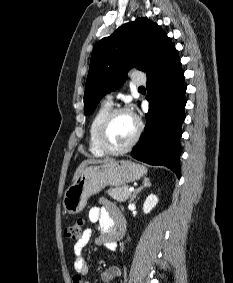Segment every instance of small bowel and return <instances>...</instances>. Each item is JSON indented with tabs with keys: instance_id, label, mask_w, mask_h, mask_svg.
Masks as SVG:
<instances>
[{
	"instance_id": "small-bowel-1",
	"label": "small bowel",
	"mask_w": 233,
	"mask_h": 283,
	"mask_svg": "<svg viewBox=\"0 0 233 283\" xmlns=\"http://www.w3.org/2000/svg\"><path fill=\"white\" fill-rule=\"evenodd\" d=\"M89 220L97 225L100 235L95 239V244L105 246L110 251H115L117 226L123 223V218L120 210L108 201H102V206L92 207L88 214ZM93 235V230L87 228L83 231L81 237L74 245V276L73 283H87L84 281V275L89 270V265L84 257L83 251L90 243ZM120 275V270L117 266L107 268L101 274V279L104 283H111Z\"/></svg>"
}]
</instances>
